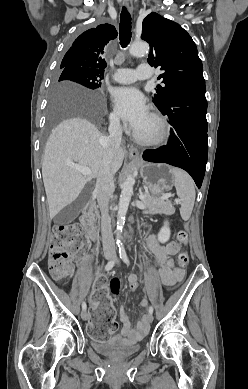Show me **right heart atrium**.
I'll use <instances>...</instances> for the list:
<instances>
[{
  "label": "right heart atrium",
  "instance_id": "d8ad5b80",
  "mask_svg": "<svg viewBox=\"0 0 248 389\" xmlns=\"http://www.w3.org/2000/svg\"><path fill=\"white\" fill-rule=\"evenodd\" d=\"M110 123L114 128H120L121 126L120 118L115 111L110 114Z\"/></svg>",
  "mask_w": 248,
  "mask_h": 389
}]
</instances>
